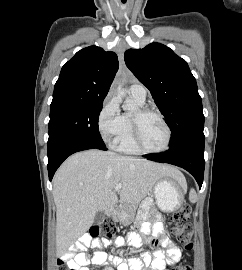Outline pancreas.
<instances>
[{
	"label": "pancreas",
	"mask_w": 242,
	"mask_h": 270,
	"mask_svg": "<svg viewBox=\"0 0 242 270\" xmlns=\"http://www.w3.org/2000/svg\"><path fill=\"white\" fill-rule=\"evenodd\" d=\"M137 207L135 205H124L121 207V214L124 216L123 223H130L134 220L135 211ZM116 221L121 220L120 218L114 217Z\"/></svg>",
	"instance_id": "obj_1"
}]
</instances>
